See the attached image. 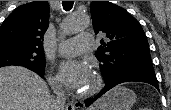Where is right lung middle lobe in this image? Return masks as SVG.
Here are the masks:
<instances>
[{"label":"right lung middle lobe","instance_id":"dd1d6c3e","mask_svg":"<svg viewBox=\"0 0 171 110\" xmlns=\"http://www.w3.org/2000/svg\"><path fill=\"white\" fill-rule=\"evenodd\" d=\"M10 65L23 66L44 75V50L23 47L15 43H2L0 44V67Z\"/></svg>","mask_w":171,"mask_h":110}]
</instances>
